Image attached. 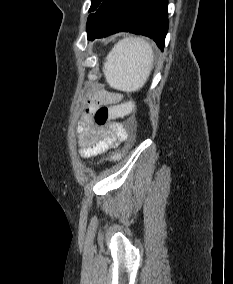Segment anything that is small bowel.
I'll return each mask as SVG.
<instances>
[{
	"label": "small bowel",
	"mask_w": 233,
	"mask_h": 284,
	"mask_svg": "<svg viewBox=\"0 0 233 284\" xmlns=\"http://www.w3.org/2000/svg\"><path fill=\"white\" fill-rule=\"evenodd\" d=\"M121 97L105 91L94 93L86 103L81 120L79 122L78 146L80 155L90 158L115 148L132 133V121L124 123H111L107 127L96 126L92 113L97 105L115 106L119 104Z\"/></svg>",
	"instance_id": "c3829d8e"
}]
</instances>
